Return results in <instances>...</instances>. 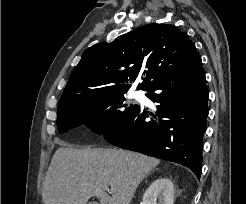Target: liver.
Returning <instances> with one entry per match:
<instances>
[{
	"label": "liver",
	"instance_id": "1",
	"mask_svg": "<svg viewBox=\"0 0 246 204\" xmlns=\"http://www.w3.org/2000/svg\"><path fill=\"white\" fill-rule=\"evenodd\" d=\"M159 163L122 149L60 147L51 159L42 200L44 204H86L97 197L100 204H130L139 183Z\"/></svg>",
	"mask_w": 246,
	"mask_h": 204
}]
</instances>
